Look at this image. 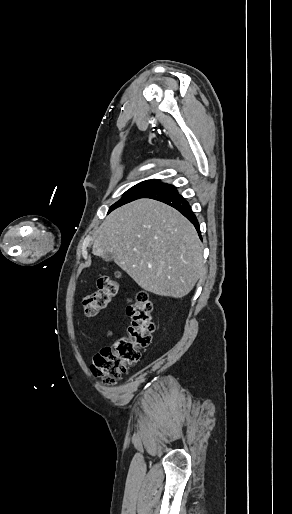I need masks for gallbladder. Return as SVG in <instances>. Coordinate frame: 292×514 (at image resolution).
Segmentation results:
<instances>
[{"mask_svg": "<svg viewBox=\"0 0 292 514\" xmlns=\"http://www.w3.org/2000/svg\"><path fill=\"white\" fill-rule=\"evenodd\" d=\"M101 258H103L105 262H111V260H113L111 252H105Z\"/></svg>", "mask_w": 292, "mask_h": 514, "instance_id": "gallbladder-1", "label": "gallbladder"}]
</instances>
